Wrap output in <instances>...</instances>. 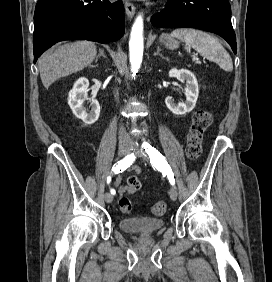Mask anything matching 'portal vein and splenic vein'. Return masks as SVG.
Returning <instances> with one entry per match:
<instances>
[{
  "instance_id": "portal-vein-and-splenic-vein-1",
  "label": "portal vein and splenic vein",
  "mask_w": 272,
  "mask_h": 282,
  "mask_svg": "<svg viewBox=\"0 0 272 282\" xmlns=\"http://www.w3.org/2000/svg\"><path fill=\"white\" fill-rule=\"evenodd\" d=\"M193 61H195V62H199V58H198L197 56H195V55H194V57H193Z\"/></svg>"
}]
</instances>
